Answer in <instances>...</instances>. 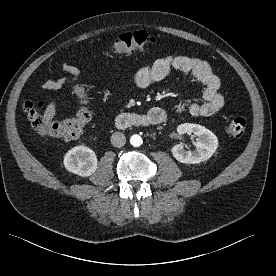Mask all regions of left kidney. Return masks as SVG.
I'll use <instances>...</instances> for the list:
<instances>
[{"label":"left kidney","instance_id":"left-kidney-1","mask_svg":"<svg viewBox=\"0 0 276 276\" xmlns=\"http://www.w3.org/2000/svg\"><path fill=\"white\" fill-rule=\"evenodd\" d=\"M179 134H191L198 136L196 142V150H185L182 144H177L172 148L174 158L184 164H197L208 160L218 147V139L216 135L209 129L198 125L185 123L177 127Z\"/></svg>","mask_w":276,"mask_h":276}]
</instances>
